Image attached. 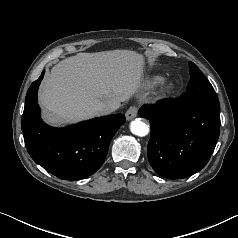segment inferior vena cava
<instances>
[{"mask_svg":"<svg viewBox=\"0 0 238 238\" xmlns=\"http://www.w3.org/2000/svg\"><path fill=\"white\" fill-rule=\"evenodd\" d=\"M117 108L118 106L116 104H102L97 108V110L100 115H107L114 112Z\"/></svg>","mask_w":238,"mask_h":238,"instance_id":"602c4592","label":"inferior vena cava"}]
</instances>
